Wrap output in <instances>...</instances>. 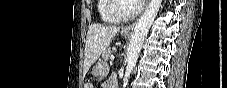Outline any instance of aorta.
Listing matches in <instances>:
<instances>
[{"label":"aorta","mask_w":227,"mask_h":88,"mask_svg":"<svg viewBox=\"0 0 227 88\" xmlns=\"http://www.w3.org/2000/svg\"><path fill=\"white\" fill-rule=\"evenodd\" d=\"M162 0H150L146 10L135 25L131 40L127 49L126 57V72L123 80V87L128 84L130 74L136 65L139 53L141 51L143 42L148 34V31L153 24L155 17L159 11Z\"/></svg>","instance_id":"762f6f07"}]
</instances>
